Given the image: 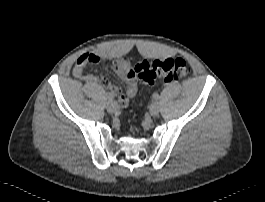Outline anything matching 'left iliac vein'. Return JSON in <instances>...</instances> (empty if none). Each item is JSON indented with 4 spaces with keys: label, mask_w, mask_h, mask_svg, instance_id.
<instances>
[{
    "label": "left iliac vein",
    "mask_w": 265,
    "mask_h": 202,
    "mask_svg": "<svg viewBox=\"0 0 265 202\" xmlns=\"http://www.w3.org/2000/svg\"><path fill=\"white\" fill-rule=\"evenodd\" d=\"M149 111H150V114L152 116H158V114H159V104L157 102L152 103L150 105Z\"/></svg>",
    "instance_id": "left-iliac-vein-1"
}]
</instances>
